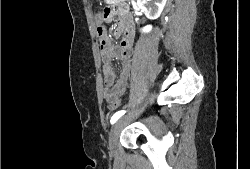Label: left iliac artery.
Wrapping results in <instances>:
<instances>
[{"mask_svg": "<svg viewBox=\"0 0 250 169\" xmlns=\"http://www.w3.org/2000/svg\"><path fill=\"white\" fill-rule=\"evenodd\" d=\"M125 112H126V111H124V110H121V111L116 112V113L112 116V118H111V120H110V123H111V124H114L122 115L125 114Z\"/></svg>", "mask_w": 250, "mask_h": 169, "instance_id": "44dca946", "label": "left iliac artery"}]
</instances>
